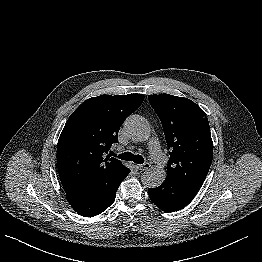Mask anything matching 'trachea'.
<instances>
[{"label": "trachea", "instance_id": "1", "mask_svg": "<svg viewBox=\"0 0 262 262\" xmlns=\"http://www.w3.org/2000/svg\"><path fill=\"white\" fill-rule=\"evenodd\" d=\"M111 155L116 156L122 160L133 161L134 163H137V164L144 163V158L141 155H134L131 152H124L122 154H119L118 156L114 152H112Z\"/></svg>", "mask_w": 262, "mask_h": 262}]
</instances>
